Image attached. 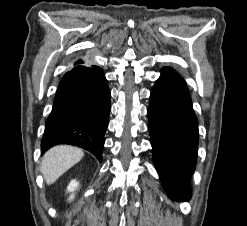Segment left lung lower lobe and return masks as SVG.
<instances>
[{"mask_svg":"<svg viewBox=\"0 0 247 226\" xmlns=\"http://www.w3.org/2000/svg\"><path fill=\"white\" fill-rule=\"evenodd\" d=\"M148 116L153 159L166 191L172 198L190 199L198 121L186 83L176 71L162 69L151 92Z\"/></svg>","mask_w":247,"mask_h":226,"instance_id":"0a47b994","label":"left lung lower lobe"}]
</instances>
